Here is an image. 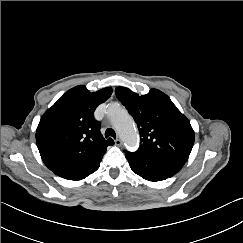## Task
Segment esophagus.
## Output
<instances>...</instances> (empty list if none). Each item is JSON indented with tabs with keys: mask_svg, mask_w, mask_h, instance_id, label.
<instances>
[{
	"mask_svg": "<svg viewBox=\"0 0 243 243\" xmlns=\"http://www.w3.org/2000/svg\"><path fill=\"white\" fill-rule=\"evenodd\" d=\"M121 144H122V141H121L119 138H117V139L115 140V145H117V146H121Z\"/></svg>",
	"mask_w": 243,
	"mask_h": 243,
	"instance_id": "1",
	"label": "esophagus"
}]
</instances>
